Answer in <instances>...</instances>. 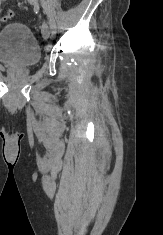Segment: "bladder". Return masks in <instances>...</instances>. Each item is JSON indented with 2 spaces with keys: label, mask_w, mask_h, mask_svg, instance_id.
<instances>
[{
  "label": "bladder",
  "mask_w": 163,
  "mask_h": 235,
  "mask_svg": "<svg viewBox=\"0 0 163 235\" xmlns=\"http://www.w3.org/2000/svg\"><path fill=\"white\" fill-rule=\"evenodd\" d=\"M41 60V48L31 29L9 23L0 29V63L11 67H33Z\"/></svg>",
  "instance_id": "1"
}]
</instances>
